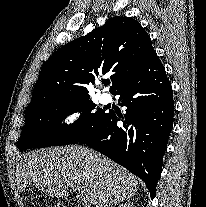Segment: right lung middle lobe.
<instances>
[{"label":"right lung middle lobe","mask_w":206,"mask_h":207,"mask_svg":"<svg viewBox=\"0 0 206 207\" xmlns=\"http://www.w3.org/2000/svg\"><path fill=\"white\" fill-rule=\"evenodd\" d=\"M89 97L40 105L25 112V125L18 142L20 150L62 146L79 142L91 134L106 118L104 109L93 112ZM82 112L72 125H60L70 114Z\"/></svg>","instance_id":"dd1d6c3e"}]
</instances>
